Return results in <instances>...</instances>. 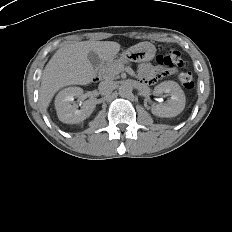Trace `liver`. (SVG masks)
Segmentation results:
<instances>
[{
    "mask_svg": "<svg viewBox=\"0 0 232 232\" xmlns=\"http://www.w3.org/2000/svg\"><path fill=\"white\" fill-rule=\"evenodd\" d=\"M144 43H138L129 49H135ZM90 51L107 61L119 53L120 44L113 41H82L59 48L45 66L42 75L39 100L44 112L59 89L68 85H87L93 81L95 71L87 57Z\"/></svg>",
    "mask_w": 232,
    "mask_h": 232,
    "instance_id": "6515ba94",
    "label": "liver"
}]
</instances>
